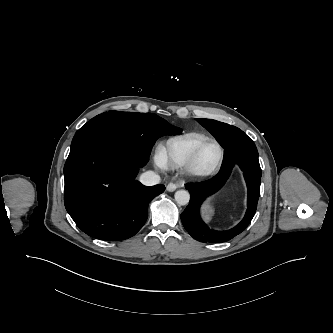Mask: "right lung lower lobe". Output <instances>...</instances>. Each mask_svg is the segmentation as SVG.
Returning <instances> with one entry per match:
<instances>
[{
  "label": "right lung lower lobe",
  "mask_w": 333,
  "mask_h": 333,
  "mask_svg": "<svg viewBox=\"0 0 333 333\" xmlns=\"http://www.w3.org/2000/svg\"><path fill=\"white\" fill-rule=\"evenodd\" d=\"M149 157L109 138L71 144L64 166L66 210L87 235L109 241L132 237L145 224L149 202L165 190L135 180Z\"/></svg>",
  "instance_id": "1"
}]
</instances>
